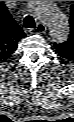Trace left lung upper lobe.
<instances>
[{
  "label": "left lung upper lobe",
  "instance_id": "1",
  "mask_svg": "<svg viewBox=\"0 0 74 122\" xmlns=\"http://www.w3.org/2000/svg\"><path fill=\"white\" fill-rule=\"evenodd\" d=\"M70 34L66 42L54 44L58 55L67 60H74V4L71 5Z\"/></svg>",
  "mask_w": 74,
  "mask_h": 122
}]
</instances>
